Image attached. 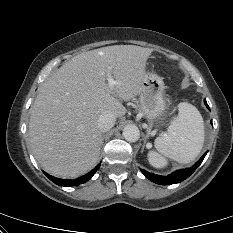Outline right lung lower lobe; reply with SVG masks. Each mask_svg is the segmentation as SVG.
<instances>
[{
	"mask_svg": "<svg viewBox=\"0 0 233 233\" xmlns=\"http://www.w3.org/2000/svg\"><path fill=\"white\" fill-rule=\"evenodd\" d=\"M99 165L93 169L91 172L87 173L84 176H81L79 178H77L76 180L72 181V180H62V179H58L55 178L53 176L48 175L47 173L44 172V174L51 180L53 181L55 184L59 185V186H76L79 184H83L85 182H87L88 180H90L92 178V176L95 174V172L98 170Z\"/></svg>",
	"mask_w": 233,
	"mask_h": 233,
	"instance_id": "1",
	"label": "right lung lower lobe"
}]
</instances>
